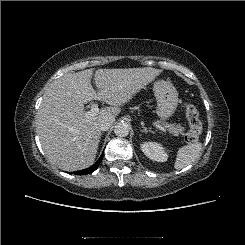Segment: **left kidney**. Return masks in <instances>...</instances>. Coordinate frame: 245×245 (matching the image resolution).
Segmentation results:
<instances>
[{"mask_svg":"<svg viewBox=\"0 0 245 245\" xmlns=\"http://www.w3.org/2000/svg\"><path fill=\"white\" fill-rule=\"evenodd\" d=\"M142 152L151 160L165 162L168 159L165 149L156 142H144L141 144Z\"/></svg>","mask_w":245,"mask_h":245,"instance_id":"left-kidney-1","label":"left kidney"}]
</instances>
